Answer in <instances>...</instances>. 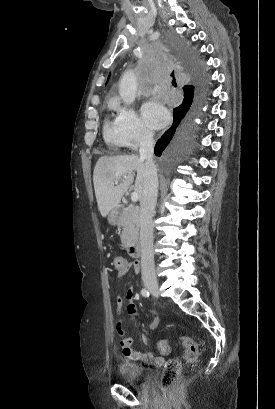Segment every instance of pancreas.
Listing matches in <instances>:
<instances>
[{"label": "pancreas", "instance_id": "obj_1", "mask_svg": "<svg viewBox=\"0 0 275 409\" xmlns=\"http://www.w3.org/2000/svg\"><path fill=\"white\" fill-rule=\"evenodd\" d=\"M119 227H123L120 235L122 247L128 249L135 239H138L139 233V209L134 205L125 207L121 213L118 223Z\"/></svg>", "mask_w": 275, "mask_h": 409}]
</instances>
